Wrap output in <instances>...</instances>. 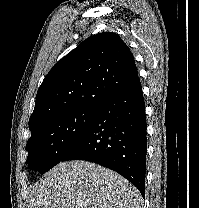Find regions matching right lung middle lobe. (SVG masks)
<instances>
[{
  "instance_id": "dd1d6c3e",
  "label": "right lung middle lobe",
  "mask_w": 199,
  "mask_h": 208,
  "mask_svg": "<svg viewBox=\"0 0 199 208\" xmlns=\"http://www.w3.org/2000/svg\"><path fill=\"white\" fill-rule=\"evenodd\" d=\"M96 109V106L76 108L32 128L27 142L29 168L43 174L62 161L89 127Z\"/></svg>"
}]
</instances>
